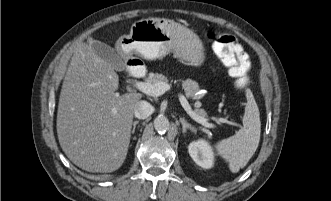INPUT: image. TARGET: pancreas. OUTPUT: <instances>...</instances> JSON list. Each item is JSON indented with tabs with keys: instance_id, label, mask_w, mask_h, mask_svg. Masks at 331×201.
Instances as JSON below:
<instances>
[{
	"instance_id": "1",
	"label": "pancreas",
	"mask_w": 331,
	"mask_h": 201,
	"mask_svg": "<svg viewBox=\"0 0 331 201\" xmlns=\"http://www.w3.org/2000/svg\"><path fill=\"white\" fill-rule=\"evenodd\" d=\"M168 78L163 75V74H159V73H151L149 75V77L146 79V82L147 83H150V84H155L157 82H164V83H168ZM182 86H183V89L185 91V94L187 97L189 98H194V99H198L200 98V95H196V93L200 90L199 88V85L196 81H193L191 79H186L184 81H182ZM195 113L198 115V116H201L203 118L206 117V111L204 109H195Z\"/></svg>"
}]
</instances>
